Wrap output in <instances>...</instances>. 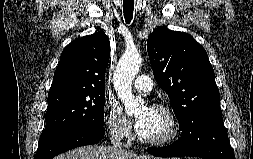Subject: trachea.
I'll return each mask as SVG.
<instances>
[{
  "label": "trachea",
  "mask_w": 253,
  "mask_h": 159,
  "mask_svg": "<svg viewBox=\"0 0 253 159\" xmlns=\"http://www.w3.org/2000/svg\"><path fill=\"white\" fill-rule=\"evenodd\" d=\"M134 0H123V12L126 23H130L133 18Z\"/></svg>",
  "instance_id": "obj_1"
}]
</instances>
